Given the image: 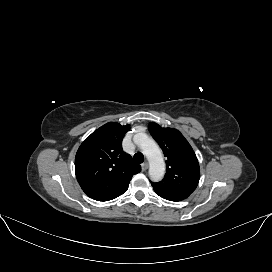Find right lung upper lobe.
<instances>
[{
    "mask_svg": "<svg viewBox=\"0 0 272 272\" xmlns=\"http://www.w3.org/2000/svg\"><path fill=\"white\" fill-rule=\"evenodd\" d=\"M129 125L109 122L94 131L80 145L75 157V173L82 190L97 201L122 195L134 174L141 171L122 150Z\"/></svg>",
    "mask_w": 272,
    "mask_h": 272,
    "instance_id": "cb5924a9",
    "label": "right lung upper lobe"
}]
</instances>
